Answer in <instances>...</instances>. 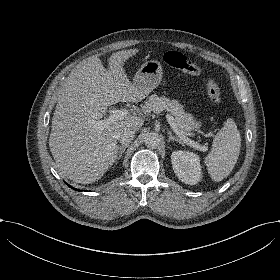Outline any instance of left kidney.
Listing matches in <instances>:
<instances>
[{
  "instance_id": "5707ae66",
  "label": "left kidney",
  "mask_w": 280,
  "mask_h": 280,
  "mask_svg": "<svg viewBox=\"0 0 280 280\" xmlns=\"http://www.w3.org/2000/svg\"><path fill=\"white\" fill-rule=\"evenodd\" d=\"M174 173L184 183L196 185L202 181V164L200 157L188 150H176L171 154Z\"/></svg>"
}]
</instances>
